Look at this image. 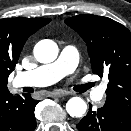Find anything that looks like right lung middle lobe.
<instances>
[{"label":"right lung middle lobe","instance_id":"obj_1","mask_svg":"<svg viewBox=\"0 0 131 131\" xmlns=\"http://www.w3.org/2000/svg\"><path fill=\"white\" fill-rule=\"evenodd\" d=\"M7 78H0V89H5L7 88Z\"/></svg>","mask_w":131,"mask_h":131}]
</instances>
